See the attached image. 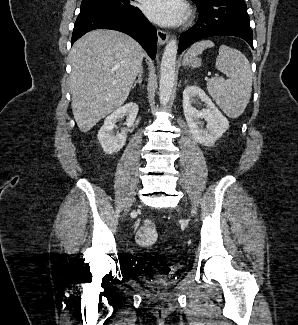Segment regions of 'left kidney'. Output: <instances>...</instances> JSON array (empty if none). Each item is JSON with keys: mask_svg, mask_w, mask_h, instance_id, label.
I'll use <instances>...</instances> for the list:
<instances>
[{"mask_svg": "<svg viewBox=\"0 0 298 325\" xmlns=\"http://www.w3.org/2000/svg\"><path fill=\"white\" fill-rule=\"evenodd\" d=\"M195 98H200L204 102L205 108L197 110L195 106H192ZM182 106L186 122L194 140L204 144V146H213L217 138H220L223 132H226L227 128H229L228 118L220 112L219 108L215 106L211 98L200 86H195V84L185 86ZM199 118L206 120V128L199 126V124H202Z\"/></svg>", "mask_w": 298, "mask_h": 325, "instance_id": "1", "label": "left kidney"}]
</instances>
